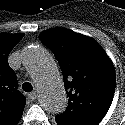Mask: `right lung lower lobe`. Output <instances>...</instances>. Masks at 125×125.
I'll use <instances>...</instances> for the list:
<instances>
[{"label": "right lung lower lobe", "mask_w": 125, "mask_h": 125, "mask_svg": "<svg viewBox=\"0 0 125 125\" xmlns=\"http://www.w3.org/2000/svg\"><path fill=\"white\" fill-rule=\"evenodd\" d=\"M20 118L17 121H15L14 123H12L11 125H17V123L19 122Z\"/></svg>", "instance_id": "1"}]
</instances>
